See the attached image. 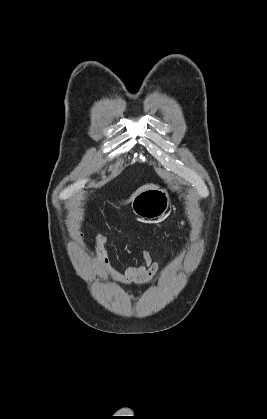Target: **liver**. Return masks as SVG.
<instances>
[{"label":"liver","instance_id":"6515ba94","mask_svg":"<svg viewBox=\"0 0 267 419\" xmlns=\"http://www.w3.org/2000/svg\"><path fill=\"white\" fill-rule=\"evenodd\" d=\"M150 188H157L156 185L154 184H146L141 186L140 188H138L132 195V197L130 198V200H132L137 194H139L140 192L146 190V189H150Z\"/></svg>","mask_w":267,"mask_h":419}]
</instances>
